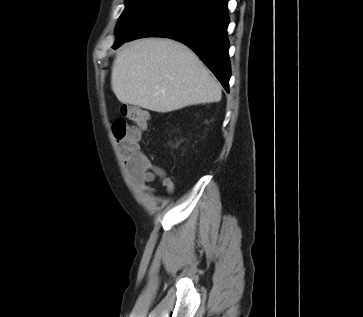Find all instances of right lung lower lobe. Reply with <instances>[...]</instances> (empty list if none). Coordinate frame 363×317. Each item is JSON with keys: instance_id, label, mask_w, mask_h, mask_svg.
Here are the masks:
<instances>
[{"instance_id": "1", "label": "right lung lower lobe", "mask_w": 363, "mask_h": 317, "mask_svg": "<svg viewBox=\"0 0 363 317\" xmlns=\"http://www.w3.org/2000/svg\"><path fill=\"white\" fill-rule=\"evenodd\" d=\"M227 3L228 0H179L143 24L126 41L158 36L182 42L199 56L228 92L231 72Z\"/></svg>"}]
</instances>
